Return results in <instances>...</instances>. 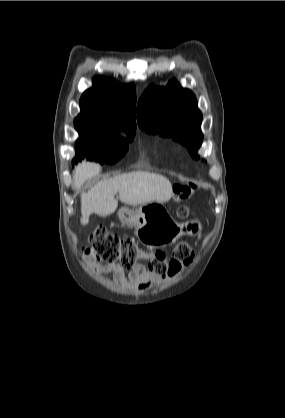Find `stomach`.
<instances>
[{
  "instance_id": "stomach-1",
  "label": "stomach",
  "mask_w": 285,
  "mask_h": 418,
  "mask_svg": "<svg viewBox=\"0 0 285 418\" xmlns=\"http://www.w3.org/2000/svg\"><path fill=\"white\" fill-rule=\"evenodd\" d=\"M155 206L148 204L136 211L123 207L118 211V216L123 224L134 227L137 238L147 245L172 243L182 235L194 236L200 233L202 225L199 221L177 223L162 207Z\"/></svg>"
}]
</instances>
